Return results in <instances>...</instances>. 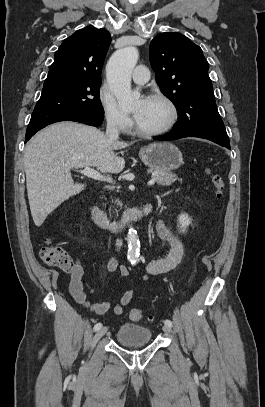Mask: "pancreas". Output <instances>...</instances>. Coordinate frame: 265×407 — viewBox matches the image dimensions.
Segmentation results:
<instances>
[{"label": "pancreas", "mask_w": 265, "mask_h": 407, "mask_svg": "<svg viewBox=\"0 0 265 407\" xmlns=\"http://www.w3.org/2000/svg\"><path fill=\"white\" fill-rule=\"evenodd\" d=\"M152 178L162 186H169L177 180L176 174L169 171H156ZM119 204L121 205V203Z\"/></svg>", "instance_id": "pancreas-1"}]
</instances>
